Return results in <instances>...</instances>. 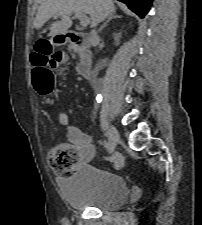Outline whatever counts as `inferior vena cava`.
Wrapping results in <instances>:
<instances>
[{
    "label": "inferior vena cava",
    "mask_w": 202,
    "mask_h": 225,
    "mask_svg": "<svg viewBox=\"0 0 202 225\" xmlns=\"http://www.w3.org/2000/svg\"><path fill=\"white\" fill-rule=\"evenodd\" d=\"M97 40H98L97 32L95 30H92L90 33V41L92 43H95Z\"/></svg>",
    "instance_id": "602c4592"
}]
</instances>
